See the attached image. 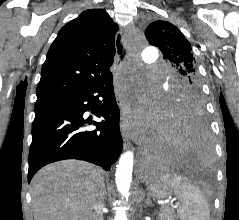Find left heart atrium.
Returning <instances> with one entry per match:
<instances>
[{
  "mask_svg": "<svg viewBox=\"0 0 239 220\" xmlns=\"http://www.w3.org/2000/svg\"><path fill=\"white\" fill-rule=\"evenodd\" d=\"M140 117L134 113L131 114L129 118V124L131 127L141 126Z\"/></svg>",
  "mask_w": 239,
  "mask_h": 220,
  "instance_id": "39dd6f15",
  "label": "left heart atrium"
}]
</instances>
